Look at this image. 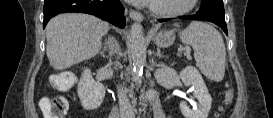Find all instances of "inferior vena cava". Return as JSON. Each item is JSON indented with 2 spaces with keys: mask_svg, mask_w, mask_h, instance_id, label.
Instances as JSON below:
<instances>
[{
  "mask_svg": "<svg viewBox=\"0 0 273 118\" xmlns=\"http://www.w3.org/2000/svg\"><path fill=\"white\" fill-rule=\"evenodd\" d=\"M116 52L120 55L119 47L117 46ZM118 98L120 105V114L122 118H134V111L131 108V104L127 98L126 91L123 88H118Z\"/></svg>",
  "mask_w": 273,
  "mask_h": 118,
  "instance_id": "602c4592",
  "label": "inferior vena cava"
}]
</instances>
